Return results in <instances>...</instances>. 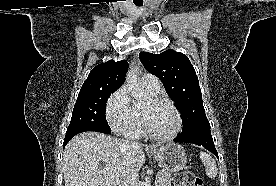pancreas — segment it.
Wrapping results in <instances>:
<instances>
[{"instance_id": "obj_1", "label": "pancreas", "mask_w": 276, "mask_h": 186, "mask_svg": "<svg viewBox=\"0 0 276 186\" xmlns=\"http://www.w3.org/2000/svg\"><path fill=\"white\" fill-rule=\"evenodd\" d=\"M157 176L160 178L157 186H171V174L168 171H159Z\"/></svg>"}]
</instances>
